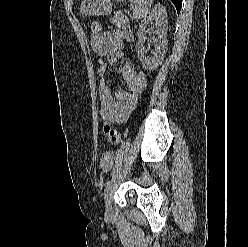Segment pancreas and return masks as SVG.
Returning <instances> with one entry per match:
<instances>
[{"mask_svg": "<svg viewBox=\"0 0 248 247\" xmlns=\"http://www.w3.org/2000/svg\"><path fill=\"white\" fill-rule=\"evenodd\" d=\"M111 22L118 27L127 28L129 24V19L123 15H118L115 18H112Z\"/></svg>", "mask_w": 248, "mask_h": 247, "instance_id": "pancreas-1", "label": "pancreas"}]
</instances>
